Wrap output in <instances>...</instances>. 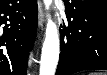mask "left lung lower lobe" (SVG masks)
<instances>
[{"instance_id":"obj_1","label":"left lung lower lobe","mask_w":107,"mask_h":75,"mask_svg":"<svg viewBox=\"0 0 107 75\" xmlns=\"http://www.w3.org/2000/svg\"><path fill=\"white\" fill-rule=\"evenodd\" d=\"M98 0H64L67 24L61 25V53L56 75L82 70H107V7L80 12V6ZM79 12L85 36L74 34L71 15Z\"/></svg>"}]
</instances>
